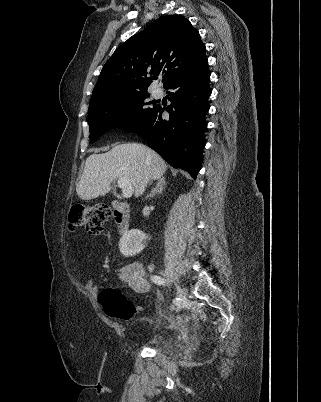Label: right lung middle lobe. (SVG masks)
Returning a JSON list of instances; mask_svg holds the SVG:
<instances>
[{
  "label": "right lung middle lobe",
  "mask_w": 321,
  "mask_h": 402,
  "mask_svg": "<svg viewBox=\"0 0 321 402\" xmlns=\"http://www.w3.org/2000/svg\"><path fill=\"white\" fill-rule=\"evenodd\" d=\"M147 97V92H138L89 107L90 143L110 129L136 124L149 115L156 105L147 107L153 103L145 102Z\"/></svg>",
  "instance_id": "right-lung-middle-lobe-1"
}]
</instances>
